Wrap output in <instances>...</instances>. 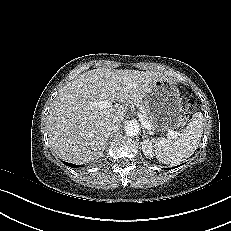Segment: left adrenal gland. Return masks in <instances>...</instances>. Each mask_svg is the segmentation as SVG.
<instances>
[{
  "mask_svg": "<svg viewBox=\"0 0 231 231\" xmlns=\"http://www.w3.org/2000/svg\"><path fill=\"white\" fill-rule=\"evenodd\" d=\"M142 137H143V139L146 137L145 131H143V136Z\"/></svg>",
  "mask_w": 231,
  "mask_h": 231,
  "instance_id": "obj_1",
  "label": "left adrenal gland"
}]
</instances>
